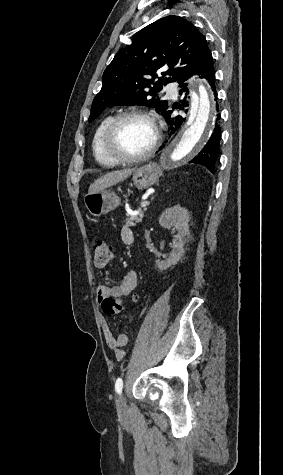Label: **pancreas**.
Wrapping results in <instances>:
<instances>
[{
	"mask_svg": "<svg viewBox=\"0 0 283 475\" xmlns=\"http://www.w3.org/2000/svg\"><path fill=\"white\" fill-rule=\"evenodd\" d=\"M138 214H135V216H130V214H126L127 218L124 220L125 224L124 226H136V224H139V222H142L143 214L146 212V210H142V208H138L137 210Z\"/></svg>",
	"mask_w": 283,
	"mask_h": 475,
	"instance_id": "pancreas-1",
	"label": "pancreas"
}]
</instances>
